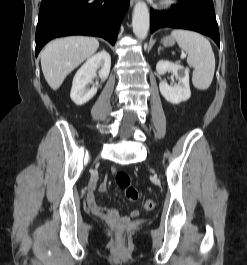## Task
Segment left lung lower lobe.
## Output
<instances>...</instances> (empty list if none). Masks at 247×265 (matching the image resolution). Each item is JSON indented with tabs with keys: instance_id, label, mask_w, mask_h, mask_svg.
I'll list each match as a JSON object with an SVG mask.
<instances>
[{
	"instance_id": "0a47b994",
	"label": "left lung lower lobe",
	"mask_w": 247,
	"mask_h": 265,
	"mask_svg": "<svg viewBox=\"0 0 247 265\" xmlns=\"http://www.w3.org/2000/svg\"><path fill=\"white\" fill-rule=\"evenodd\" d=\"M172 14L150 9V31L164 27L197 31L211 37L219 46V30L212 0H181Z\"/></svg>"
}]
</instances>
